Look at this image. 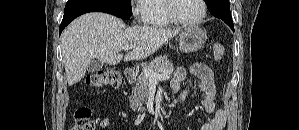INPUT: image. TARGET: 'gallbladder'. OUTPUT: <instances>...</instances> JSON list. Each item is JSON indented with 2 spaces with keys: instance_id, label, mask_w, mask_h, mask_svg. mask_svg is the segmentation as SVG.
Here are the masks:
<instances>
[{
  "instance_id": "bac80fb5",
  "label": "gallbladder",
  "mask_w": 299,
  "mask_h": 130,
  "mask_svg": "<svg viewBox=\"0 0 299 130\" xmlns=\"http://www.w3.org/2000/svg\"><path fill=\"white\" fill-rule=\"evenodd\" d=\"M104 66V63L102 61H100L99 59H93L88 67H87V71L89 73H94V72H97L99 70H101Z\"/></svg>"
}]
</instances>
